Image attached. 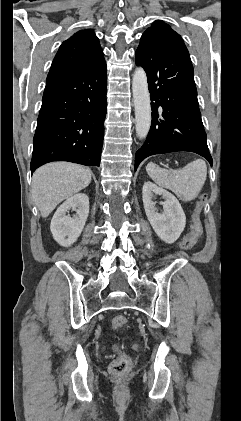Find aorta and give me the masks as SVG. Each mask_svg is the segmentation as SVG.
I'll return each instance as SVG.
<instances>
[{
  "instance_id": "762f6f07",
  "label": "aorta",
  "mask_w": 241,
  "mask_h": 421,
  "mask_svg": "<svg viewBox=\"0 0 241 421\" xmlns=\"http://www.w3.org/2000/svg\"><path fill=\"white\" fill-rule=\"evenodd\" d=\"M132 92L136 134L145 139L151 126V105L146 72L141 67L133 74Z\"/></svg>"
}]
</instances>
